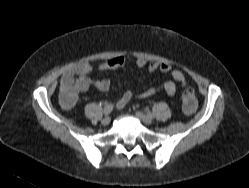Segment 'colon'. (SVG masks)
<instances>
[{"mask_svg":"<svg viewBox=\"0 0 249 188\" xmlns=\"http://www.w3.org/2000/svg\"><path fill=\"white\" fill-rule=\"evenodd\" d=\"M64 99L71 103V94H65ZM182 109L186 114H192L197 109V99L190 86H185L181 95Z\"/></svg>","mask_w":249,"mask_h":188,"instance_id":"colon-1","label":"colon"}]
</instances>
